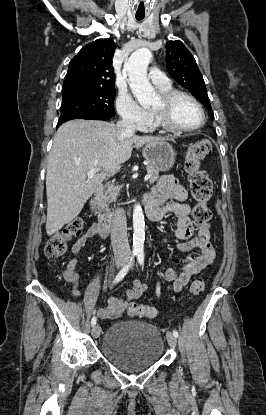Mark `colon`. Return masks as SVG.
Instances as JSON below:
<instances>
[{
  "mask_svg": "<svg viewBox=\"0 0 266 415\" xmlns=\"http://www.w3.org/2000/svg\"><path fill=\"white\" fill-rule=\"evenodd\" d=\"M212 152V143L203 139L192 144L185 157V170L188 175L192 197L195 205L192 210L194 225L197 228L207 227L212 213L208 207V201L212 196V182L207 173L201 168V162ZM83 219L76 217L72 219L62 231L53 235L46 243L44 253L48 258H58L67 251L68 242L81 234ZM205 288L203 278L198 277L191 283L190 293L194 296L200 295ZM128 313L131 316L153 318L156 310L152 306L130 303Z\"/></svg>",
  "mask_w": 266,
  "mask_h": 415,
  "instance_id": "5ec220e1",
  "label": "colon"
}]
</instances>
